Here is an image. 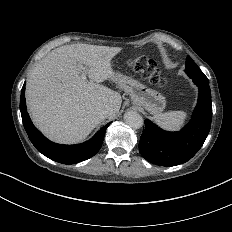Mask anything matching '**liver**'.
Here are the masks:
<instances>
[{"mask_svg": "<svg viewBox=\"0 0 232 232\" xmlns=\"http://www.w3.org/2000/svg\"><path fill=\"white\" fill-rule=\"evenodd\" d=\"M121 47L73 44L51 51L30 73L26 100L37 127L54 141L76 142L87 137L105 118H114L122 98L101 85L116 82L113 58ZM78 64H86L89 78L81 79ZM109 106L111 114L99 110Z\"/></svg>", "mask_w": 232, "mask_h": 232, "instance_id": "obj_1", "label": "liver"}]
</instances>
